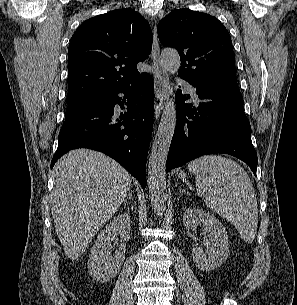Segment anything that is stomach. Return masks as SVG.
I'll list each match as a JSON object with an SVG mask.
<instances>
[{
  "mask_svg": "<svg viewBox=\"0 0 297 305\" xmlns=\"http://www.w3.org/2000/svg\"><path fill=\"white\" fill-rule=\"evenodd\" d=\"M179 177H180L183 181H185L186 178H187L186 174H185L184 172H182V171L179 172Z\"/></svg>",
  "mask_w": 297,
  "mask_h": 305,
  "instance_id": "0dacf381",
  "label": "stomach"
}]
</instances>
